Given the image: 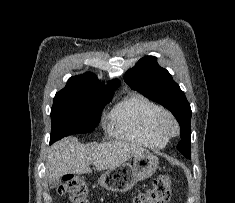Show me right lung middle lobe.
<instances>
[{"label":"right lung middle lobe","mask_w":235,"mask_h":203,"mask_svg":"<svg viewBox=\"0 0 235 203\" xmlns=\"http://www.w3.org/2000/svg\"><path fill=\"white\" fill-rule=\"evenodd\" d=\"M112 96L90 91L57 92L51 109L50 144L71 134L93 131Z\"/></svg>","instance_id":"1"}]
</instances>
